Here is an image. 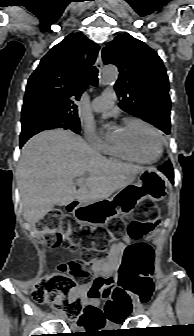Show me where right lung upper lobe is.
Here are the masks:
<instances>
[{
  "label": "right lung upper lobe",
  "instance_id": "cb5924a9",
  "mask_svg": "<svg viewBox=\"0 0 194 336\" xmlns=\"http://www.w3.org/2000/svg\"><path fill=\"white\" fill-rule=\"evenodd\" d=\"M98 50L99 46L82 33L70 34L55 45L28 80L21 121L48 114L78 117L73 99L78 100L88 87L86 70L95 62Z\"/></svg>",
  "mask_w": 194,
  "mask_h": 336
}]
</instances>
